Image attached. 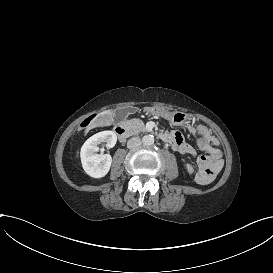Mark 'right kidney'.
Returning a JSON list of instances; mask_svg holds the SVG:
<instances>
[{"mask_svg":"<svg viewBox=\"0 0 273 273\" xmlns=\"http://www.w3.org/2000/svg\"><path fill=\"white\" fill-rule=\"evenodd\" d=\"M106 142L107 148H112L117 142L113 131H102L94 134L81 147L80 157L84 171L93 178L105 176L111 167L112 157L109 154H97L98 144Z\"/></svg>","mask_w":273,"mask_h":273,"instance_id":"obj_1","label":"right kidney"}]
</instances>
